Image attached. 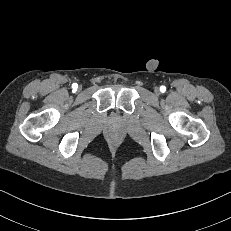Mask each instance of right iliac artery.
I'll return each instance as SVG.
<instances>
[{
	"label": "right iliac artery",
	"mask_w": 231,
	"mask_h": 231,
	"mask_svg": "<svg viewBox=\"0 0 231 231\" xmlns=\"http://www.w3.org/2000/svg\"><path fill=\"white\" fill-rule=\"evenodd\" d=\"M77 87H78V85H77L76 83L72 84V88H73L74 90H76Z\"/></svg>",
	"instance_id": "right-iliac-artery-1"
}]
</instances>
